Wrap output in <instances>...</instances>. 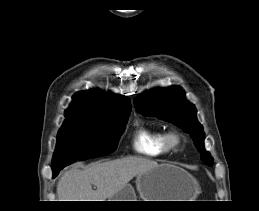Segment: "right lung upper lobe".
<instances>
[{
	"instance_id": "right-lung-upper-lobe-1",
	"label": "right lung upper lobe",
	"mask_w": 259,
	"mask_h": 211,
	"mask_svg": "<svg viewBox=\"0 0 259 211\" xmlns=\"http://www.w3.org/2000/svg\"><path fill=\"white\" fill-rule=\"evenodd\" d=\"M130 100L101 90L78 92L65 115L87 113L93 115H115L130 113Z\"/></svg>"
}]
</instances>
